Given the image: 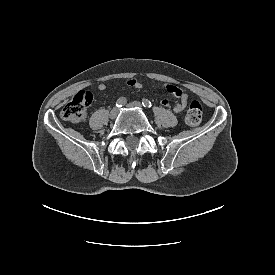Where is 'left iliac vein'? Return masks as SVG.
<instances>
[{"label":"left iliac vein","mask_w":275,"mask_h":275,"mask_svg":"<svg viewBox=\"0 0 275 275\" xmlns=\"http://www.w3.org/2000/svg\"><path fill=\"white\" fill-rule=\"evenodd\" d=\"M127 107H129V108H141L142 105H141L140 102L134 101V102H131V103L127 104Z\"/></svg>","instance_id":"1"}]
</instances>
